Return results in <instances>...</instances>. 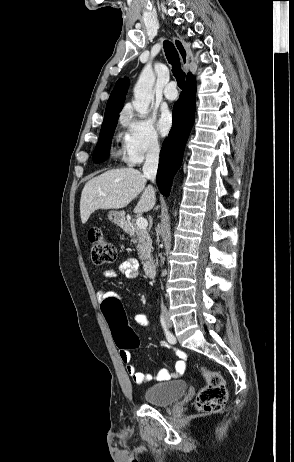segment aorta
<instances>
[{
    "label": "aorta",
    "mask_w": 294,
    "mask_h": 462,
    "mask_svg": "<svg viewBox=\"0 0 294 462\" xmlns=\"http://www.w3.org/2000/svg\"><path fill=\"white\" fill-rule=\"evenodd\" d=\"M155 75L150 66H146L141 72L139 79L134 87V109L144 116L148 113L149 105L154 99L153 85Z\"/></svg>",
    "instance_id": "762f6f07"
}]
</instances>
